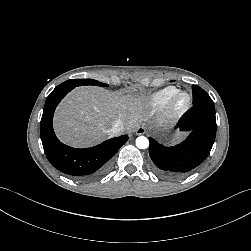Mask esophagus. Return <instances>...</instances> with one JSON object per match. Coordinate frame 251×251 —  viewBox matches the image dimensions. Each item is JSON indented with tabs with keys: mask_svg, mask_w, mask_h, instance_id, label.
Here are the masks:
<instances>
[{
	"mask_svg": "<svg viewBox=\"0 0 251 251\" xmlns=\"http://www.w3.org/2000/svg\"><path fill=\"white\" fill-rule=\"evenodd\" d=\"M135 133H136L137 135H143V134L146 133V129H145L144 127H142V126H139V127H137V128L135 129Z\"/></svg>",
	"mask_w": 251,
	"mask_h": 251,
	"instance_id": "1",
	"label": "esophagus"
}]
</instances>
